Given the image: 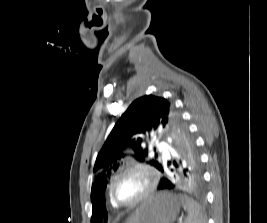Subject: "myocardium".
<instances>
[{
  "mask_svg": "<svg viewBox=\"0 0 267 223\" xmlns=\"http://www.w3.org/2000/svg\"><path fill=\"white\" fill-rule=\"evenodd\" d=\"M133 170L140 171L148 177V186L145 191L136 199L129 202H122L116 197L114 193L115 184L121 176ZM158 182L159 173L153 166L144 162L132 161L128 163L124 168L119 170L117 173H115L114 176L111 178L109 184V196L116 206L121 208H132L146 201L155 192Z\"/></svg>",
  "mask_w": 267,
  "mask_h": 223,
  "instance_id": "myocardium-1",
  "label": "myocardium"
}]
</instances>
